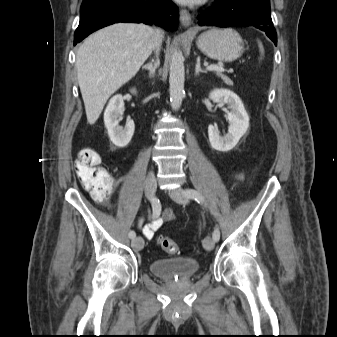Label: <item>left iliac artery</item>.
I'll use <instances>...</instances> for the list:
<instances>
[{
  "label": "left iliac artery",
  "mask_w": 337,
  "mask_h": 337,
  "mask_svg": "<svg viewBox=\"0 0 337 337\" xmlns=\"http://www.w3.org/2000/svg\"><path fill=\"white\" fill-rule=\"evenodd\" d=\"M184 194L191 199H194L195 201H197L198 203H203V197L201 196V194L199 192H197L194 189H186L184 191ZM213 239L215 242H217L220 239V231L218 228L214 229L213 232Z\"/></svg>",
  "instance_id": "obj_1"
}]
</instances>
